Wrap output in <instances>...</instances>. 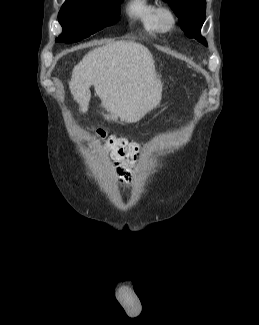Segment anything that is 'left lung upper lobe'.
Returning a JSON list of instances; mask_svg holds the SVG:
<instances>
[{"label": "left lung upper lobe", "mask_w": 259, "mask_h": 325, "mask_svg": "<svg viewBox=\"0 0 259 325\" xmlns=\"http://www.w3.org/2000/svg\"><path fill=\"white\" fill-rule=\"evenodd\" d=\"M168 2L177 17L180 19V27L188 37L197 39L206 45L205 38L200 34L205 21V0H164Z\"/></svg>", "instance_id": "obj_1"}]
</instances>
